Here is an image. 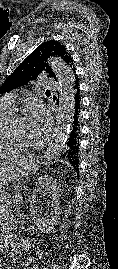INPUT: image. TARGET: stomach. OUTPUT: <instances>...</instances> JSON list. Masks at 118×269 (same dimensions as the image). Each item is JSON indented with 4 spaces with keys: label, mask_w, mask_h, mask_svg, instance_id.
<instances>
[{
    "label": "stomach",
    "mask_w": 118,
    "mask_h": 269,
    "mask_svg": "<svg viewBox=\"0 0 118 269\" xmlns=\"http://www.w3.org/2000/svg\"><path fill=\"white\" fill-rule=\"evenodd\" d=\"M39 165L37 158L27 156L0 166V192L5 185L35 173Z\"/></svg>",
    "instance_id": "stomach-1"
}]
</instances>
